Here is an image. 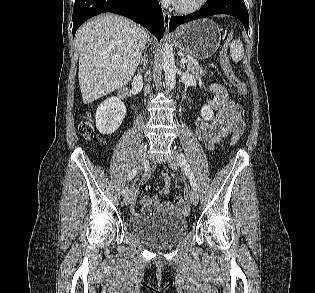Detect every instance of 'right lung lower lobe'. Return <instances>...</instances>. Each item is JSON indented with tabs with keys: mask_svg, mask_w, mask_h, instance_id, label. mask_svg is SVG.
I'll use <instances>...</instances> for the list:
<instances>
[{
	"mask_svg": "<svg viewBox=\"0 0 315 293\" xmlns=\"http://www.w3.org/2000/svg\"><path fill=\"white\" fill-rule=\"evenodd\" d=\"M103 12L132 19L146 27L158 40L164 35V18L157 0H75L73 35L84 21Z\"/></svg>",
	"mask_w": 315,
	"mask_h": 293,
	"instance_id": "obj_1",
	"label": "right lung lower lobe"
}]
</instances>
